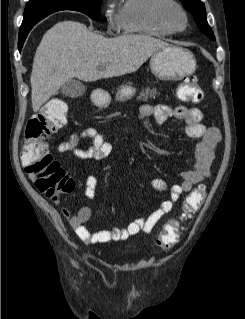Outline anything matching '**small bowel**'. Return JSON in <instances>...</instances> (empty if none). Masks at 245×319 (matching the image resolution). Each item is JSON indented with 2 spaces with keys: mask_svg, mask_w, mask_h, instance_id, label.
I'll return each instance as SVG.
<instances>
[{
  "mask_svg": "<svg viewBox=\"0 0 245 319\" xmlns=\"http://www.w3.org/2000/svg\"><path fill=\"white\" fill-rule=\"evenodd\" d=\"M150 117H153L157 123H163L168 118L181 120L185 123L187 137L200 140L190 168L182 173V182L180 184L171 186L170 199L162 201L159 207L149 216L136 218L123 229L91 233L85 226L92 216L90 207L83 206L76 212H71L66 208L62 209V215L69 220V224L84 244L125 240L141 232H151L158 221L174 208L183 193L192 190L195 185L201 183L210 174L214 148L220 139V133L218 129L207 127L201 123L203 113L200 109L195 107L188 108L183 105L174 108L166 105H142L139 109V118L144 120ZM83 139L92 140L93 145L88 149L78 148L79 142ZM57 149L61 153L72 152L76 157L83 160H102L112 152L111 144L93 127H87L80 132L72 133L67 140L59 143ZM98 184L99 179L95 175H89L85 178V194L89 199L94 198ZM151 185L154 189L160 191L165 190L167 187L166 183L160 178L152 179ZM112 211L116 212L114 207H112Z\"/></svg>",
  "mask_w": 245,
  "mask_h": 319,
  "instance_id": "small-bowel-1",
  "label": "small bowel"
}]
</instances>
